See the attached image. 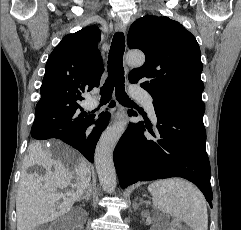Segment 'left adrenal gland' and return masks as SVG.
Returning <instances> with one entry per match:
<instances>
[{"instance_id": "obj_1", "label": "left adrenal gland", "mask_w": 241, "mask_h": 230, "mask_svg": "<svg viewBox=\"0 0 241 230\" xmlns=\"http://www.w3.org/2000/svg\"><path fill=\"white\" fill-rule=\"evenodd\" d=\"M142 203H143V201H142V200H140L139 204H137V205L135 206V209H137V208H138V206H139L140 204H142Z\"/></svg>"}]
</instances>
